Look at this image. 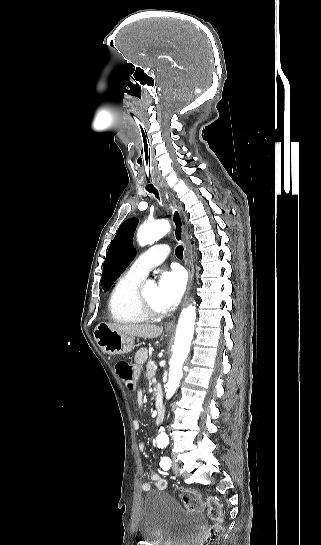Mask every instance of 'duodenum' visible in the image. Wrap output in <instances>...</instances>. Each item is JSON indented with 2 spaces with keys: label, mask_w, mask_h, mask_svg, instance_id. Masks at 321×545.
<instances>
[{
  "label": "duodenum",
  "mask_w": 321,
  "mask_h": 545,
  "mask_svg": "<svg viewBox=\"0 0 321 545\" xmlns=\"http://www.w3.org/2000/svg\"><path fill=\"white\" fill-rule=\"evenodd\" d=\"M154 394H155V401H156V406L158 410L157 422L161 423L163 419V413H164V398H163L162 389L159 386H157L154 390Z\"/></svg>",
  "instance_id": "duodenum-1"
}]
</instances>
